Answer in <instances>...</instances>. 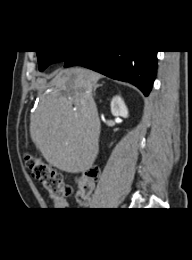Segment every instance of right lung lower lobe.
<instances>
[{
    "label": "right lung lower lobe",
    "mask_w": 192,
    "mask_h": 260,
    "mask_svg": "<svg viewBox=\"0 0 192 260\" xmlns=\"http://www.w3.org/2000/svg\"><path fill=\"white\" fill-rule=\"evenodd\" d=\"M157 51H78L65 67L83 66L113 79L130 82L148 96L155 80Z\"/></svg>",
    "instance_id": "98d812e1"
}]
</instances>
